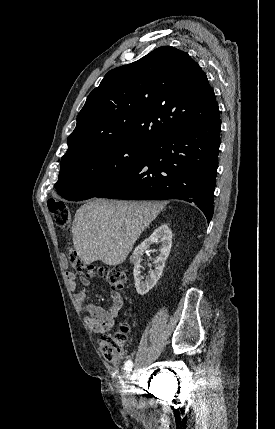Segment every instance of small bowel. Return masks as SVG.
<instances>
[{"label": "small bowel", "instance_id": "obj_1", "mask_svg": "<svg viewBox=\"0 0 275 429\" xmlns=\"http://www.w3.org/2000/svg\"><path fill=\"white\" fill-rule=\"evenodd\" d=\"M66 279L70 289L75 292V300L77 304L87 312V315L84 318V322L87 327L97 334H105L108 332L114 326L115 319L123 305L120 293L112 291L110 293L111 304L107 308H103L86 302L85 292L77 291V278L73 272L67 271ZM81 283L84 286H88L90 285V280L82 278Z\"/></svg>", "mask_w": 275, "mask_h": 429}]
</instances>
